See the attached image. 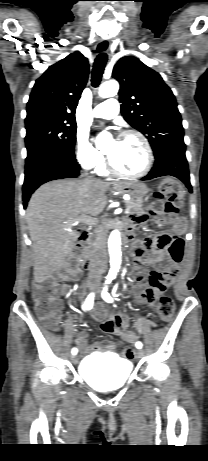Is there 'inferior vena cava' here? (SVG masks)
Returning a JSON list of instances; mask_svg holds the SVG:
<instances>
[{
	"label": "inferior vena cava",
	"instance_id": "obj_1",
	"mask_svg": "<svg viewBox=\"0 0 208 461\" xmlns=\"http://www.w3.org/2000/svg\"><path fill=\"white\" fill-rule=\"evenodd\" d=\"M106 242L104 235L101 233L98 236V245L96 257L91 265L89 276L91 279L99 280L106 268Z\"/></svg>",
	"mask_w": 208,
	"mask_h": 461
}]
</instances>
